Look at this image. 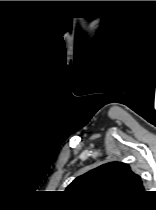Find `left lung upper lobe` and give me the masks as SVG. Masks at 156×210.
I'll return each mask as SVG.
<instances>
[{
  "mask_svg": "<svg viewBox=\"0 0 156 210\" xmlns=\"http://www.w3.org/2000/svg\"><path fill=\"white\" fill-rule=\"evenodd\" d=\"M68 191L115 196H132L144 192L141 177L128 164L111 162L79 177L67 187Z\"/></svg>",
  "mask_w": 156,
  "mask_h": 210,
  "instance_id": "1",
  "label": "left lung upper lobe"
}]
</instances>
